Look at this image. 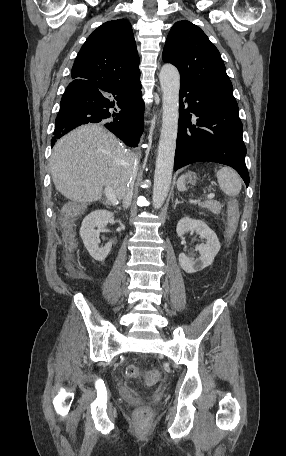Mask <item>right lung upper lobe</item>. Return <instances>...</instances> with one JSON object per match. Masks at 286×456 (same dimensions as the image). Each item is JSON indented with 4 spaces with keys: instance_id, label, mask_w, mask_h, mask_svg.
<instances>
[{
    "instance_id": "obj_1",
    "label": "right lung upper lobe",
    "mask_w": 286,
    "mask_h": 456,
    "mask_svg": "<svg viewBox=\"0 0 286 456\" xmlns=\"http://www.w3.org/2000/svg\"><path fill=\"white\" fill-rule=\"evenodd\" d=\"M71 77L105 88L138 79L139 56L129 21H108L93 31L75 59Z\"/></svg>"
}]
</instances>
